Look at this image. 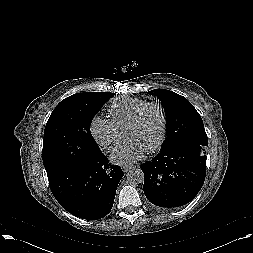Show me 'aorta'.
Returning <instances> with one entry per match:
<instances>
[{"label": "aorta", "instance_id": "obj_1", "mask_svg": "<svg viewBox=\"0 0 253 253\" xmlns=\"http://www.w3.org/2000/svg\"><path fill=\"white\" fill-rule=\"evenodd\" d=\"M127 179L134 185L142 183L144 180V172L140 168L132 169L127 173Z\"/></svg>", "mask_w": 253, "mask_h": 253}]
</instances>
